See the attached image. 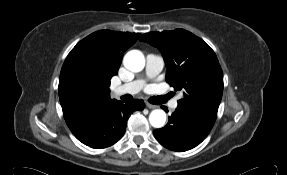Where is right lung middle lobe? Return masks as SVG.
<instances>
[{"label": "right lung middle lobe", "mask_w": 287, "mask_h": 175, "mask_svg": "<svg viewBox=\"0 0 287 175\" xmlns=\"http://www.w3.org/2000/svg\"><path fill=\"white\" fill-rule=\"evenodd\" d=\"M90 93L86 86L80 85L76 90V99L78 101H84L89 97Z\"/></svg>", "instance_id": "right-lung-middle-lobe-1"}]
</instances>
